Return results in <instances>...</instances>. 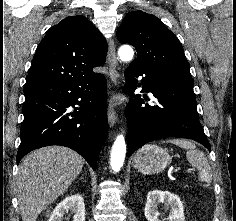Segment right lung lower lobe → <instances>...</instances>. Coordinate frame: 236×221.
Returning a JSON list of instances; mask_svg holds the SVG:
<instances>
[{
    "instance_id": "98d812e1",
    "label": "right lung lower lobe",
    "mask_w": 236,
    "mask_h": 221,
    "mask_svg": "<svg viewBox=\"0 0 236 221\" xmlns=\"http://www.w3.org/2000/svg\"><path fill=\"white\" fill-rule=\"evenodd\" d=\"M106 90L104 75L97 73L25 92L17 164L32 150L62 145L78 152L96 170L108 130ZM70 106L74 112H69Z\"/></svg>"
}]
</instances>
